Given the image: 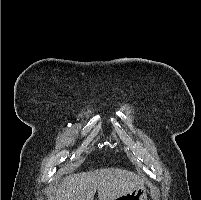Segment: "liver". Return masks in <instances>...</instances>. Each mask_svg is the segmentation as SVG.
<instances>
[{
	"label": "liver",
	"mask_w": 201,
	"mask_h": 200,
	"mask_svg": "<svg viewBox=\"0 0 201 200\" xmlns=\"http://www.w3.org/2000/svg\"><path fill=\"white\" fill-rule=\"evenodd\" d=\"M144 182L139 175L127 170L97 169L65 177L53 200H93L96 190L99 200H115Z\"/></svg>",
	"instance_id": "6515ba94"
}]
</instances>
